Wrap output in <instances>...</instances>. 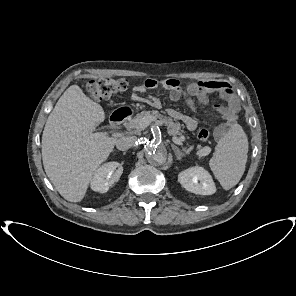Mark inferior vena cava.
Here are the masks:
<instances>
[{
  "mask_svg": "<svg viewBox=\"0 0 296 296\" xmlns=\"http://www.w3.org/2000/svg\"><path fill=\"white\" fill-rule=\"evenodd\" d=\"M135 142V138L131 136L121 137L116 141V148L120 151L130 149Z\"/></svg>",
  "mask_w": 296,
  "mask_h": 296,
  "instance_id": "1",
  "label": "inferior vena cava"
}]
</instances>
